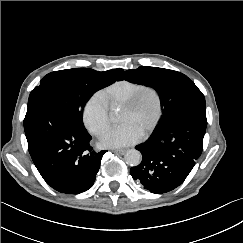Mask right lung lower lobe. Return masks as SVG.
<instances>
[{"label": "right lung lower lobe", "mask_w": 243, "mask_h": 243, "mask_svg": "<svg viewBox=\"0 0 243 243\" xmlns=\"http://www.w3.org/2000/svg\"><path fill=\"white\" fill-rule=\"evenodd\" d=\"M24 130L34 165L49 186L79 194L93 185L106 151H93L91 136L68 113L46 103L29 104Z\"/></svg>", "instance_id": "98d812e1"}]
</instances>
